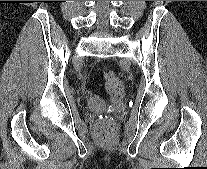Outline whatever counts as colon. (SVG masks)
Returning a JSON list of instances; mask_svg holds the SVG:
<instances>
[{
    "instance_id": "colon-1",
    "label": "colon",
    "mask_w": 207,
    "mask_h": 169,
    "mask_svg": "<svg viewBox=\"0 0 207 169\" xmlns=\"http://www.w3.org/2000/svg\"><path fill=\"white\" fill-rule=\"evenodd\" d=\"M104 85L107 94L113 101H119L124 97V84L113 71H105ZM95 134L98 140L103 143L112 142L116 136V126L113 120L108 117L100 120L96 124Z\"/></svg>"
}]
</instances>
